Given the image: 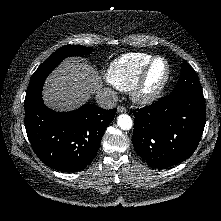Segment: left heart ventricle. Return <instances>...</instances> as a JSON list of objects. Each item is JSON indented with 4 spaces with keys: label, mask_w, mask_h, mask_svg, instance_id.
I'll use <instances>...</instances> for the list:
<instances>
[{
    "label": "left heart ventricle",
    "mask_w": 221,
    "mask_h": 221,
    "mask_svg": "<svg viewBox=\"0 0 221 221\" xmlns=\"http://www.w3.org/2000/svg\"><path fill=\"white\" fill-rule=\"evenodd\" d=\"M165 70L166 66L162 60H158L153 64L147 79L146 86L148 89H152L158 85L165 74Z\"/></svg>",
    "instance_id": "left-heart-ventricle-1"
}]
</instances>
